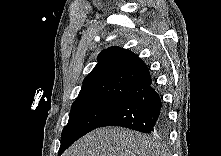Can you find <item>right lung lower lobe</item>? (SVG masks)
Returning <instances> with one entry per match:
<instances>
[{
    "mask_svg": "<svg viewBox=\"0 0 221 156\" xmlns=\"http://www.w3.org/2000/svg\"><path fill=\"white\" fill-rule=\"evenodd\" d=\"M105 126L160 134L167 128V114L159 94L151 85L120 104L99 127Z\"/></svg>",
    "mask_w": 221,
    "mask_h": 156,
    "instance_id": "obj_1",
    "label": "right lung lower lobe"
}]
</instances>
